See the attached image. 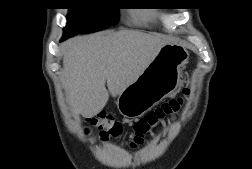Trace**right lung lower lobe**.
<instances>
[{
    "mask_svg": "<svg viewBox=\"0 0 252 169\" xmlns=\"http://www.w3.org/2000/svg\"><path fill=\"white\" fill-rule=\"evenodd\" d=\"M65 40V38L63 37L61 41Z\"/></svg>",
    "mask_w": 252,
    "mask_h": 169,
    "instance_id": "1",
    "label": "right lung lower lobe"
}]
</instances>
